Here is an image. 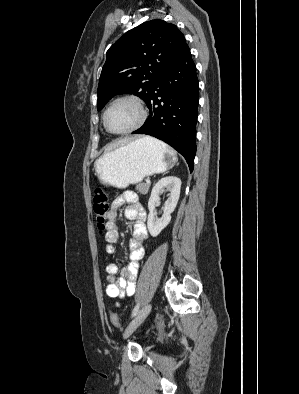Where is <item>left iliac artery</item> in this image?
Instances as JSON below:
<instances>
[{
	"mask_svg": "<svg viewBox=\"0 0 299 394\" xmlns=\"http://www.w3.org/2000/svg\"><path fill=\"white\" fill-rule=\"evenodd\" d=\"M138 310H139V304H137V305L135 306V308L133 309V312H132V317H134V316H136V315H137V313H138Z\"/></svg>",
	"mask_w": 299,
	"mask_h": 394,
	"instance_id": "left-iliac-artery-1",
	"label": "left iliac artery"
}]
</instances>
